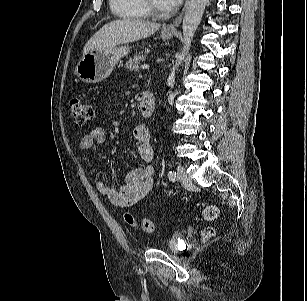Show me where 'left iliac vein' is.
I'll list each match as a JSON object with an SVG mask.
<instances>
[{"instance_id":"obj_1","label":"left iliac vein","mask_w":307,"mask_h":301,"mask_svg":"<svg viewBox=\"0 0 307 301\" xmlns=\"http://www.w3.org/2000/svg\"><path fill=\"white\" fill-rule=\"evenodd\" d=\"M177 172H178V175H179V181L180 183L187 187V186H190L191 185V180L186 172V169L183 167V166H179L177 168Z\"/></svg>"}]
</instances>
